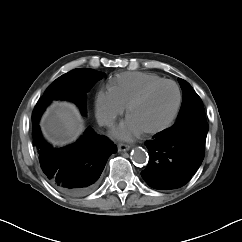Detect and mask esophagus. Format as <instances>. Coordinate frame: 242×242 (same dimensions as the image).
Masks as SVG:
<instances>
[{"mask_svg":"<svg viewBox=\"0 0 242 242\" xmlns=\"http://www.w3.org/2000/svg\"><path fill=\"white\" fill-rule=\"evenodd\" d=\"M131 148L130 145H127V144H119L117 149L119 152H122V151H127Z\"/></svg>","mask_w":242,"mask_h":242,"instance_id":"1","label":"esophagus"}]
</instances>
